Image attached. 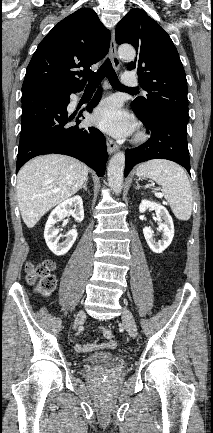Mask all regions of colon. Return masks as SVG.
I'll list each match as a JSON object with an SVG mask.
<instances>
[{"mask_svg": "<svg viewBox=\"0 0 213 433\" xmlns=\"http://www.w3.org/2000/svg\"><path fill=\"white\" fill-rule=\"evenodd\" d=\"M54 263L51 260H44L40 263H28L26 265L27 280L35 284L38 292L43 296H49L56 287V279L53 275ZM103 336L112 340L114 333L109 328L103 329Z\"/></svg>", "mask_w": 213, "mask_h": 433, "instance_id": "colon-1", "label": "colon"}]
</instances>
